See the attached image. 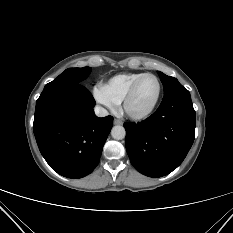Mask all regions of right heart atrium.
Segmentation results:
<instances>
[{"instance_id":"d8ad5b80","label":"right heart atrium","mask_w":233,"mask_h":233,"mask_svg":"<svg viewBox=\"0 0 233 233\" xmlns=\"http://www.w3.org/2000/svg\"><path fill=\"white\" fill-rule=\"evenodd\" d=\"M94 99L103 106L113 110L118 102L113 98L108 88L104 84H97L92 91Z\"/></svg>"}]
</instances>
